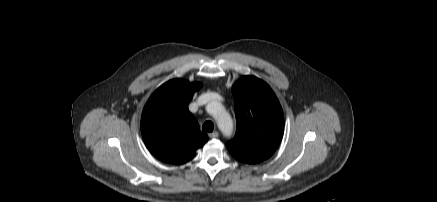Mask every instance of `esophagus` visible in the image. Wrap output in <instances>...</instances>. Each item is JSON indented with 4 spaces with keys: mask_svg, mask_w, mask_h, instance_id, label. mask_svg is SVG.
I'll use <instances>...</instances> for the list:
<instances>
[{
    "mask_svg": "<svg viewBox=\"0 0 437 202\" xmlns=\"http://www.w3.org/2000/svg\"><path fill=\"white\" fill-rule=\"evenodd\" d=\"M219 136V133L217 131L209 133V137L212 139H215Z\"/></svg>",
    "mask_w": 437,
    "mask_h": 202,
    "instance_id": "esophagus-1",
    "label": "esophagus"
}]
</instances>
